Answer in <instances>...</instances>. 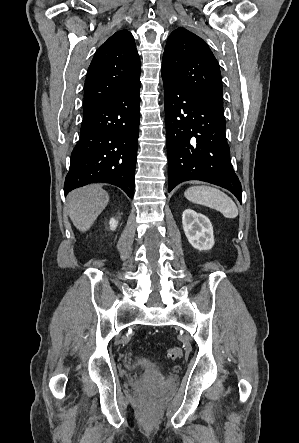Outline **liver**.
<instances>
[{"label":"liver","instance_id":"obj_1","mask_svg":"<svg viewBox=\"0 0 299 443\" xmlns=\"http://www.w3.org/2000/svg\"><path fill=\"white\" fill-rule=\"evenodd\" d=\"M109 202L108 193L99 185L76 189L67 196L68 214L74 226L86 232Z\"/></svg>","mask_w":299,"mask_h":443}]
</instances>
